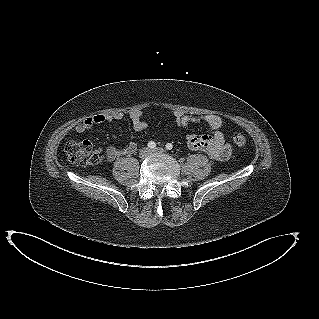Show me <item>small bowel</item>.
<instances>
[{"instance_id": "obj_1", "label": "small bowel", "mask_w": 319, "mask_h": 319, "mask_svg": "<svg viewBox=\"0 0 319 319\" xmlns=\"http://www.w3.org/2000/svg\"><path fill=\"white\" fill-rule=\"evenodd\" d=\"M170 114L174 118L176 124L182 128L199 123H206L209 126V133L187 135L186 143L191 150L203 151L213 160L220 162L229 159L232 154V146L227 142L226 135L221 130L223 119L220 115L213 113L193 115L187 114L181 110H174ZM144 115L145 113L141 110H133L130 112L129 118L134 130L141 131L148 127V123L143 119ZM123 117L124 115L120 112L93 115L78 124L75 127V131L78 134H82L95 125L114 120H122ZM136 149L137 145L135 142H129L121 148L109 146L104 150L102 159L107 162H112L118 157L134 154ZM102 151V148L98 147L96 149V155L98 156Z\"/></svg>"}]
</instances>
